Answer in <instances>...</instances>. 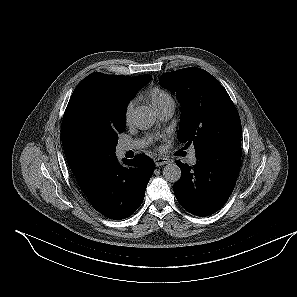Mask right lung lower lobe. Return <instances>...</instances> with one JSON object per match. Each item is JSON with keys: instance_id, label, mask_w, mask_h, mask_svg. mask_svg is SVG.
I'll return each mask as SVG.
<instances>
[{"instance_id": "1", "label": "right lung lower lobe", "mask_w": 297, "mask_h": 297, "mask_svg": "<svg viewBox=\"0 0 297 297\" xmlns=\"http://www.w3.org/2000/svg\"><path fill=\"white\" fill-rule=\"evenodd\" d=\"M153 171L154 161L144 154L131 160L124 158L122 164L115 155L84 194L102 215L114 220L125 219L142 204Z\"/></svg>"}]
</instances>
